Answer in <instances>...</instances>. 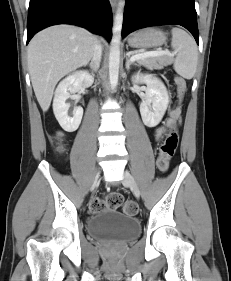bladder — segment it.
Here are the masks:
<instances>
[{
  "instance_id": "1",
  "label": "bladder",
  "mask_w": 231,
  "mask_h": 281,
  "mask_svg": "<svg viewBox=\"0 0 231 281\" xmlns=\"http://www.w3.org/2000/svg\"><path fill=\"white\" fill-rule=\"evenodd\" d=\"M86 230L94 239L129 241L139 235L140 222L130 215L104 208L88 217Z\"/></svg>"
}]
</instances>
